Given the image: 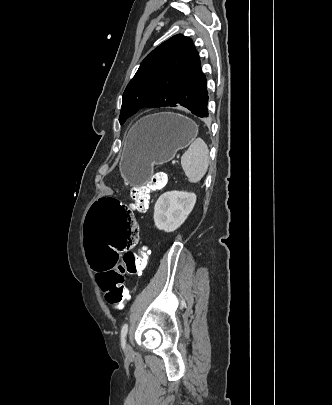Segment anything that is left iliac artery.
I'll return each instance as SVG.
<instances>
[{
  "instance_id": "left-iliac-artery-1",
  "label": "left iliac artery",
  "mask_w": 332,
  "mask_h": 405,
  "mask_svg": "<svg viewBox=\"0 0 332 405\" xmlns=\"http://www.w3.org/2000/svg\"><path fill=\"white\" fill-rule=\"evenodd\" d=\"M127 331H128V324H124L122 329H121V342H122V345L125 344V338H126V335H127Z\"/></svg>"
}]
</instances>
